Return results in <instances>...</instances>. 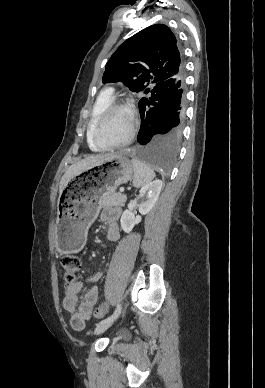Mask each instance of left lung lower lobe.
<instances>
[{"instance_id": "obj_1", "label": "left lung lower lobe", "mask_w": 265, "mask_h": 388, "mask_svg": "<svg viewBox=\"0 0 265 388\" xmlns=\"http://www.w3.org/2000/svg\"><path fill=\"white\" fill-rule=\"evenodd\" d=\"M139 101L141 126L134 153L163 171L175 160L185 113V72L158 84Z\"/></svg>"}]
</instances>
